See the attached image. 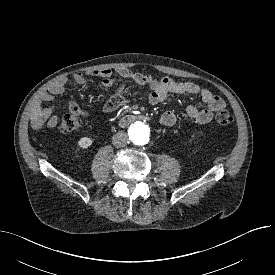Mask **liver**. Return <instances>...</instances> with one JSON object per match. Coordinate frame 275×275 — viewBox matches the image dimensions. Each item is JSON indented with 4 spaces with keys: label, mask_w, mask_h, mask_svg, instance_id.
Instances as JSON below:
<instances>
[{
    "label": "liver",
    "mask_w": 275,
    "mask_h": 275,
    "mask_svg": "<svg viewBox=\"0 0 275 275\" xmlns=\"http://www.w3.org/2000/svg\"><path fill=\"white\" fill-rule=\"evenodd\" d=\"M50 113H51L50 109L39 110L32 116L31 120L32 122L45 120L50 115Z\"/></svg>",
    "instance_id": "1"
}]
</instances>
